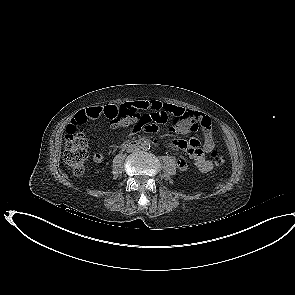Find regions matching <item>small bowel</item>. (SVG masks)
Returning a JSON list of instances; mask_svg holds the SVG:
<instances>
[{"mask_svg": "<svg viewBox=\"0 0 295 295\" xmlns=\"http://www.w3.org/2000/svg\"><path fill=\"white\" fill-rule=\"evenodd\" d=\"M128 105L137 111L150 110L153 114L165 113L166 118L169 116L176 121L175 130L181 134L201 129L204 133L203 141L198 137H192L189 140H170L166 144L168 147L185 151L194 161L196 168L200 172L207 173L213 169V163L206 158V154L215 148V140L209 116L181 106L165 104L157 100L135 101ZM101 116H103V107H88L78 111L68 126H81L89 120H94ZM92 160L95 163H102L105 160V154L95 152ZM177 166L181 171L188 170V164L185 158H179Z\"/></svg>", "mask_w": 295, "mask_h": 295, "instance_id": "obj_1", "label": "small bowel"}]
</instances>
